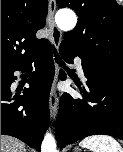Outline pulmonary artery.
Segmentation results:
<instances>
[{"label": "pulmonary artery", "instance_id": "pulmonary-artery-1", "mask_svg": "<svg viewBox=\"0 0 123 152\" xmlns=\"http://www.w3.org/2000/svg\"><path fill=\"white\" fill-rule=\"evenodd\" d=\"M75 64H76V68H77L79 76L81 78H84V71H83V67L81 65V61L79 59H76Z\"/></svg>", "mask_w": 123, "mask_h": 152}]
</instances>
